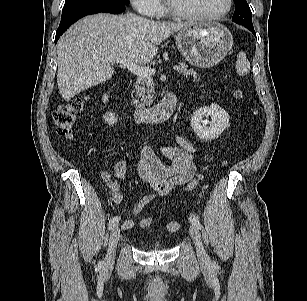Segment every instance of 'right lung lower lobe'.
Here are the masks:
<instances>
[{"label": "right lung lower lobe", "instance_id": "obj_1", "mask_svg": "<svg viewBox=\"0 0 307 301\" xmlns=\"http://www.w3.org/2000/svg\"><path fill=\"white\" fill-rule=\"evenodd\" d=\"M125 11V5L114 3H99L62 13L60 25L56 31L55 42L59 37L69 28L71 24L83 16L95 14L99 12H108L112 14H119Z\"/></svg>", "mask_w": 307, "mask_h": 301}]
</instances>
